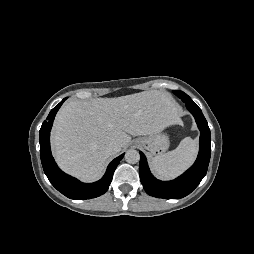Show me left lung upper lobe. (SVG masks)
I'll list each match as a JSON object with an SVG mask.
<instances>
[{
  "instance_id": "obj_1",
  "label": "left lung upper lobe",
  "mask_w": 254,
  "mask_h": 254,
  "mask_svg": "<svg viewBox=\"0 0 254 254\" xmlns=\"http://www.w3.org/2000/svg\"><path fill=\"white\" fill-rule=\"evenodd\" d=\"M174 94L177 95L185 104L186 103H192L195 104L192 99L184 92L175 90Z\"/></svg>"
}]
</instances>
